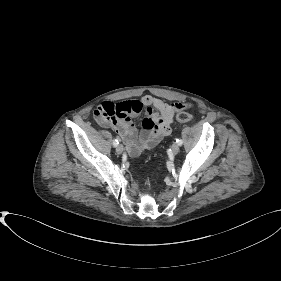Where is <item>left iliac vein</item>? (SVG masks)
I'll return each mask as SVG.
<instances>
[{
    "label": "left iliac vein",
    "instance_id": "obj_1",
    "mask_svg": "<svg viewBox=\"0 0 281 281\" xmlns=\"http://www.w3.org/2000/svg\"><path fill=\"white\" fill-rule=\"evenodd\" d=\"M179 149H180V147L177 143L173 144L172 147H171V151L174 155L178 154Z\"/></svg>",
    "mask_w": 281,
    "mask_h": 281
}]
</instances>
